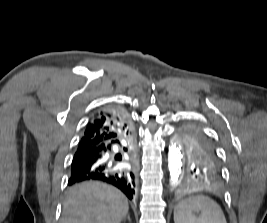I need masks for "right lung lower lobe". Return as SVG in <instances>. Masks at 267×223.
Here are the masks:
<instances>
[{"label":"right lung lower lobe","instance_id":"1","mask_svg":"<svg viewBox=\"0 0 267 223\" xmlns=\"http://www.w3.org/2000/svg\"><path fill=\"white\" fill-rule=\"evenodd\" d=\"M124 141H132V125L125 128L119 138L75 153L68 185L98 180L119 188L129 199H132L135 194L136 175L131 169L116 167L114 163V161H122L121 154H115V152L128 153L129 151L127 146H123Z\"/></svg>","mask_w":267,"mask_h":223}]
</instances>
